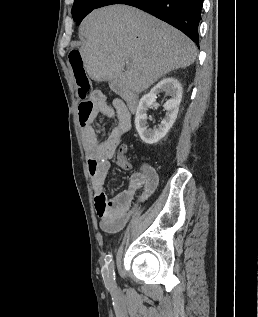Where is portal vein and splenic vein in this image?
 Instances as JSON below:
<instances>
[{
	"instance_id": "1",
	"label": "portal vein and splenic vein",
	"mask_w": 258,
	"mask_h": 317,
	"mask_svg": "<svg viewBox=\"0 0 258 317\" xmlns=\"http://www.w3.org/2000/svg\"><path fill=\"white\" fill-rule=\"evenodd\" d=\"M125 62H126V66H127V68H128V66H129V64H130V60H125Z\"/></svg>"
}]
</instances>
